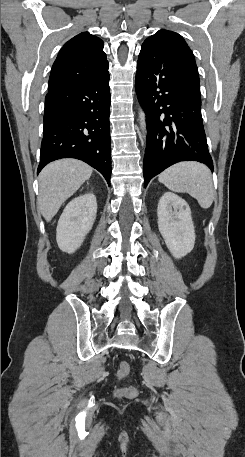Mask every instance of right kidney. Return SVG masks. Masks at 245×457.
<instances>
[{"label": "right kidney", "instance_id": "right-kidney-1", "mask_svg": "<svg viewBox=\"0 0 245 457\" xmlns=\"http://www.w3.org/2000/svg\"><path fill=\"white\" fill-rule=\"evenodd\" d=\"M97 212L93 192L79 194L65 206L57 224L56 241L64 253H75L91 231Z\"/></svg>", "mask_w": 245, "mask_h": 457}]
</instances>
